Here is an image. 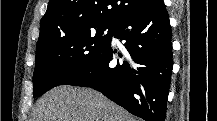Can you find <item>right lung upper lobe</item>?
I'll use <instances>...</instances> for the list:
<instances>
[{
	"label": "right lung upper lobe",
	"instance_id": "1",
	"mask_svg": "<svg viewBox=\"0 0 217 121\" xmlns=\"http://www.w3.org/2000/svg\"><path fill=\"white\" fill-rule=\"evenodd\" d=\"M147 0H50L37 47L93 24H118Z\"/></svg>",
	"mask_w": 217,
	"mask_h": 121
}]
</instances>
